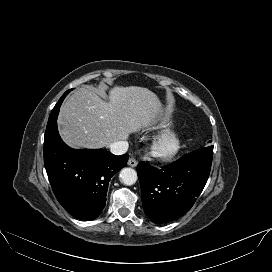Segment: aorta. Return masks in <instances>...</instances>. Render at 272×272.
<instances>
[{
	"label": "aorta",
	"mask_w": 272,
	"mask_h": 272,
	"mask_svg": "<svg viewBox=\"0 0 272 272\" xmlns=\"http://www.w3.org/2000/svg\"><path fill=\"white\" fill-rule=\"evenodd\" d=\"M137 173L132 168H123L120 172V179L125 185H133L137 181Z\"/></svg>",
	"instance_id": "762f6f07"
}]
</instances>
